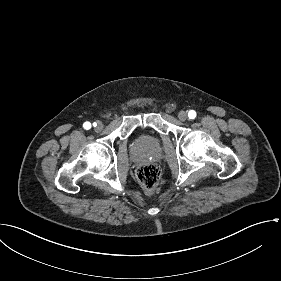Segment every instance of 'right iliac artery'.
<instances>
[{
  "instance_id": "obj_1",
  "label": "right iliac artery",
  "mask_w": 281,
  "mask_h": 281,
  "mask_svg": "<svg viewBox=\"0 0 281 281\" xmlns=\"http://www.w3.org/2000/svg\"><path fill=\"white\" fill-rule=\"evenodd\" d=\"M93 125L96 126V123H94ZM83 127H84L86 130H88V129L91 128V124H90L89 122H85V123L83 124Z\"/></svg>"
}]
</instances>
